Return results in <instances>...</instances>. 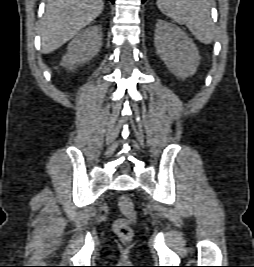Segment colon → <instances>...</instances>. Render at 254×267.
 Returning <instances> with one entry per match:
<instances>
[{
  "instance_id": "5ec220e1",
  "label": "colon",
  "mask_w": 254,
  "mask_h": 267,
  "mask_svg": "<svg viewBox=\"0 0 254 267\" xmlns=\"http://www.w3.org/2000/svg\"><path fill=\"white\" fill-rule=\"evenodd\" d=\"M118 206L124 217L119 218L114 222L113 229L121 241L128 242L133 237L131 225L136 221V210L131 198L128 196L120 197Z\"/></svg>"
}]
</instances>
